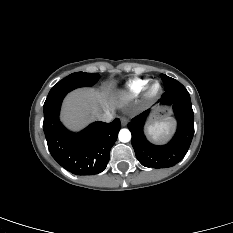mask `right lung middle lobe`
I'll use <instances>...</instances> for the list:
<instances>
[{
	"instance_id": "right-lung-middle-lobe-1",
	"label": "right lung middle lobe",
	"mask_w": 233,
	"mask_h": 233,
	"mask_svg": "<svg viewBox=\"0 0 233 233\" xmlns=\"http://www.w3.org/2000/svg\"><path fill=\"white\" fill-rule=\"evenodd\" d=\"M99 79L97 73L76 72L59 81L49 92L45 102L52 101L68 92L84 86H92Z\"/></svg>"
}]
</instances>
